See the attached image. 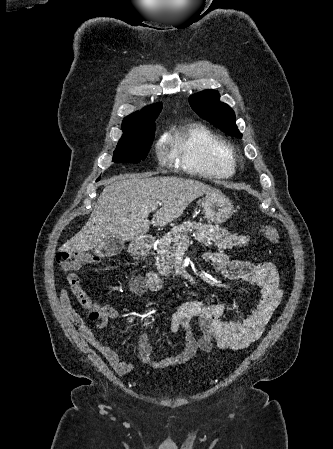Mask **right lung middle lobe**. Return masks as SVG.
<instances>
[{
    "label": "right lung middle lobe",
    "instance_id": "right-lung-middle-lobe-1",
    "mask_svg": "<svg viewBox=\"0 0 333 449\" xmlns=\"http://www.w3.org/2000/svg\"><path fill=\"white\" fill-rule=\"evenodd\" d=\"M155 119L156 118L154 117L145 123L144 128L141 131L142 137L119 140L112 161L118 163H138L145 159L154 138L156 125L153 120Z\"/></svg>",
    "mask_w": 333,
    "mask_h": 449
}]
</instances>
